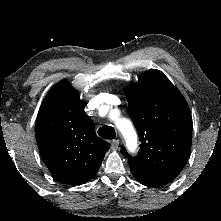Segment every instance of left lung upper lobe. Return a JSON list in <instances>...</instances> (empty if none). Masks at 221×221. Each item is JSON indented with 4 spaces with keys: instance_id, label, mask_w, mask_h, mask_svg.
I'll use <instances>...</instances> for the list:
<instances>
[{
    "instance_id": "5c2ea615",
    "label": "left lung upper lobe",
    "mask_w": 221,
    "mask_h": 221,
    "mask_svg": "<svg viewBox=\"0 0 221 221\" xmlns=\"http://www.w3.org/2000/svg\"><path fill=\"white\" fill-rule=\"evenodd\" d=\"M128 113L141 142L138 155L128 158L136 180L146 186L171 182L182 170L192 140L189 107L178 89L159 70L140 75L138 82L125 91Z\"/></svg>"
}]
</instances>
